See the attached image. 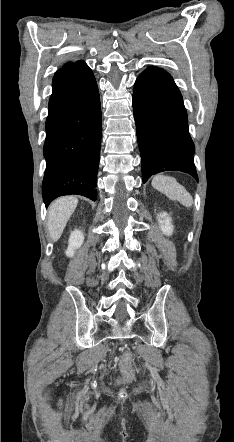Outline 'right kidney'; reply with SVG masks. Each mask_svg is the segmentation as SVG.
<instances>
[{"label": "right kidney", "instance_id": "obj_1", "mask_svg": "<svg viewBox=\"0 0 234 442\" xmlns=\"http://www.w3.org/2000/svg\"><path fill=\"white\" fill-rule=\"evenodd\" d=\"M84 241V235L83 232L80 230H74L71 232L69 241H68V248L65 251V254L68 257H72L74 255V252L76 249H78Z\"/></svg>", "mask_w": 234, "mask_h": 442}]
</instances>
